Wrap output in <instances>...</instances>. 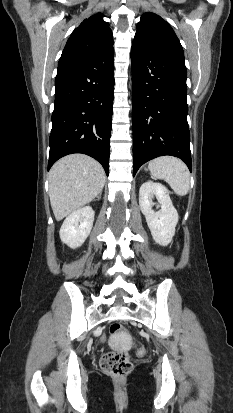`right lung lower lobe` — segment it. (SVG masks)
<instances>
[{
    "label": "right lung lower lobe",
    "mask_w": 233,
    "mask_h": 413,
    "mask_svg": "<svg viewBox=\"0 0 233 413\" xmlns=\"http://www.w3.org/2000/svg\"><path fill=\"white\" fill-rule=\"evenodd\" d=\"M114 51L58 66L48 170L61 157L87 154L109 172Z\"/></svg>",
    "instance_id": "98d812e1"
}]
</instances>
